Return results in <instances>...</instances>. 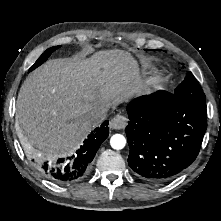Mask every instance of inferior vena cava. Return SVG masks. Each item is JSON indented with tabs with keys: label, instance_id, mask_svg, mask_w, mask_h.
<instances>
[{
	"label": "inferior vena cava",
	"instance_id": "602c4592",
	"mask_svg": "<svg viewBox=\"0 0 221 221\" xmlns=\"http://www.w3.org/2000/svg\"><path fill=\"white\" fill-rule=\"evenodd\" d=\"M107 112L108 107L106 106L94 107L87 115L88 121L94 126L99 125L106 118Z\"/></svg>",
	"mask_w": 221,
	"mask_h": 221
}]
</instances>
